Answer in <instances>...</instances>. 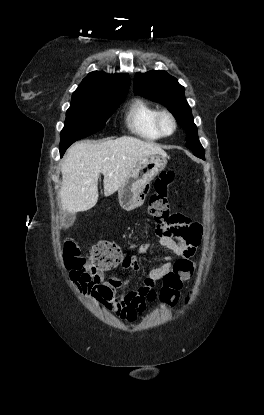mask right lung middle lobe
<instances>
[{
	"instance_id": "1",
	"label": "right lung middle lobe",
	"mask_w": 264,
	"mask_h": 415,
	"mask_svg": "<svg viewBox=\"0 0 264 415\" xmlns=\"http://www.w3.org/2000/svg\"><path fill=\"white\" fill-rule=\"evenodd\" d=\"M124 98L125 95L72 98L60 134V150L101 130Z\"/></svg>"
}]
</instances>
